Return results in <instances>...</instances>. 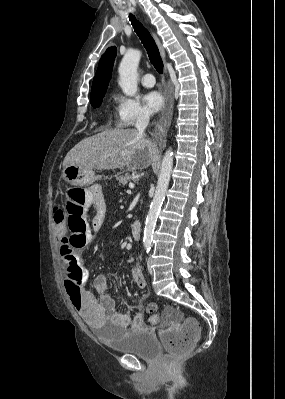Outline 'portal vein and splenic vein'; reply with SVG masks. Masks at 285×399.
<instances>
[{"label": "portal vein and splenic vein", "mask_w": 285, "mask_h": 399, "mask_svg": "<svg viewBox=\"0 0 285 399\" xmlns=\"http://www.w3.org/2000/svg\"><path fill=\"white\" fill-rule=\"evenodd\" d=\"M134 187H135V184L132 183V182H130V183H129V188L133 189Z\"/></svg>", "instance_id": "obj_1"}]
</instances>
